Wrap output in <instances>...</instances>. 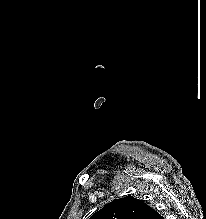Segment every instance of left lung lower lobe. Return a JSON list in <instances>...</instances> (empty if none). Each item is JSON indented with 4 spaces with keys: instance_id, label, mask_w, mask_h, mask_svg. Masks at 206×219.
Listing matches in <instances>:
<instances>
[{
    "instance_id": "0a47b994",
    "label": "left lung lower lobe",
    "mask_w": 206,
    "mask_h": 219,
    "mask_svg": "<svg viewBox=\"0 0 206 219\" xmlns=\"http://www.w3.org/2000/svg\"><path fill=\"white\" fill-rule=\"evenodd\" d=\"M151 219H164L158 212L154 211V214Z\"/></svg>"
}]
</instances>
